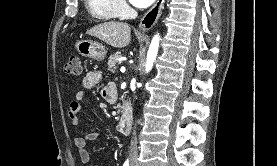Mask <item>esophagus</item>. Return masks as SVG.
Here are the masks:
<instances>
[{
	"instance_id": "esophagus-1",
	"label": "esophagus",
	"mask_w": 277,
	"mask_h": 166,
	"mask_svg": "<svg viewBox=\"0 0 277 166\" xmlns=\"http://www.w3.org/2000/svg\"><path fill=\"white\" fill-rule=\"evenodd\" d=\"M164 3L165 0H157L153 7L145 13L139 23V28L142 31H148L155 25L162 13Z\"/></svg>"
}]
</instances>
